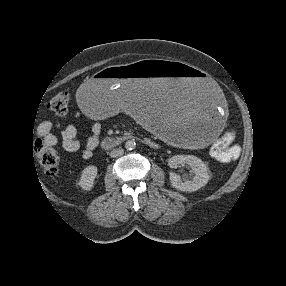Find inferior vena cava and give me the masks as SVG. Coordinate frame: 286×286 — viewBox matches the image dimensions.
Instances as JSON below:
<instances>
[{"mask_svg":"<svg viewBox=\"0 0 286 286\" xmlns=\"http://www.w3.org/2000/svg\"><path fill=\"white\" fill-rule=\"evenodd\" d=\"M123 153H124L123 149H113L110 152V156L113 158H116V157H120L121 155H123Z\"/></svg>","mask_w":286,"mask_h":286,"instance_id":"1","label":"inferior vena cava"}]
</instances>
